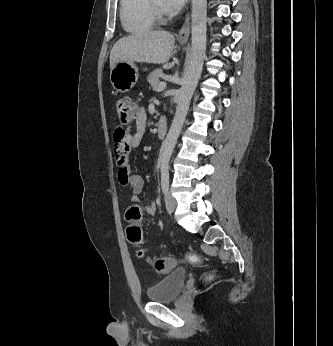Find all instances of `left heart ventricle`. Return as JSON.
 I'll return each mask as SVG.
<instances>
[{
	"label": "left heart ventricle",
	"instance_id": "b2bd125f",
	"mask_svg": "<svg viewBox=\"0 0 333 346\" xmlns=\"http://www.w3.org/2000/svg\"><path fill=\"white\" fill-rule=\"evenodd\" d=\"M155 3L162 9V3L161 0H154Z\"/></svg>",
	"mask_w": 333,
	"mask_h": 346
}]
</instances>
